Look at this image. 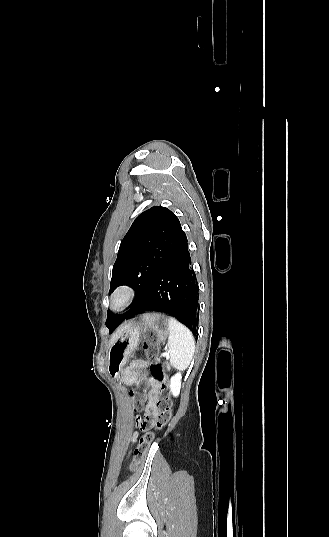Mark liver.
<instances>
[{"mask_svg":"<svg viewBox=\"0 0 329 537\" xmlns=\"http://www.w3.org/2000/svg\"><path fill=\"white\" fill-rule=\"evenodd\" d=\"M130 324H125L121 327H119L115 333H113L109 345H111L119 336L120 334L129 326Z\"/></svg>","mask_w":329,"mask_h":537,"instance_id":"liver-1","label":"liver"}]
</instances>
